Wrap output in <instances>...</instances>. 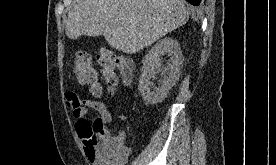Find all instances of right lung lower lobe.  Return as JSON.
<instances>
[{"instance_id":"right-lung-lower-lobe-1","label":"right lung lower lobe","mask_w":276,"mask_h":165,"mask_svg":"<svg viewBox=\"0 0 276 165\" xmlns=\"http://www.w3.org/2000/svg\"><path fill=\"white\" fill-rule=\"evenodd\" d=\"M186 1H188V2L191 3L192 5L198 6V5H200V3H201L203 0H186Z\"/></svg>"}]
</instances>
